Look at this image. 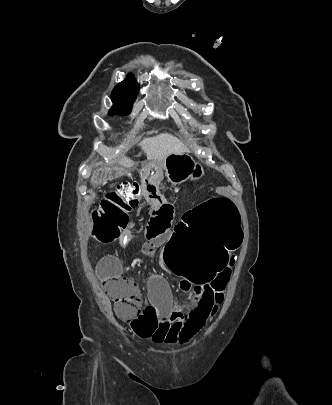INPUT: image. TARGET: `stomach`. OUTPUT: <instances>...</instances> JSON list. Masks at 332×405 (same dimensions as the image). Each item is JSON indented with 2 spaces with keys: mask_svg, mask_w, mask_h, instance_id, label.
Wrapping results in <instances>:
<instances>
[{
  "mask_svg": "<svg viewBox=\"0 0 332 405\" xmlns=\"http://www.w3.org/2000/svg\"><path fill=\"white\" fill-rule=\"evenodd\" d=\"M161 166L173 184H180L188 179L199 180L204 176L202 165L185 153L168 155L161 162Z\"/></svg>",
  "mask_w": 332,
  "mask_h": 405,
  "instance_id": "stomach-1",
  "label": "stomach"
}]
</instances>
